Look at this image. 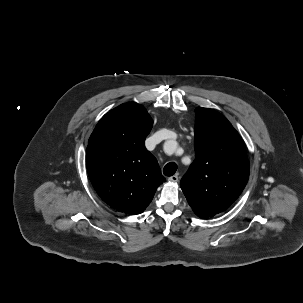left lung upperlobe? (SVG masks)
<instances>
[{"instance_id": "1", "label": "left lung upper lobe", "mask_w": 303, "mask_h": 303, "mask_svg": "<svg viewBox=\"0 0 303 303\" xmlns=\"http://www.w3.org/2000/svg\"><path fill=\"white\" fill-rule=\"evenodd\" d=\"M195 160L180 186L200 218L227 210L243 191L249 177L244 142L219 112L197 108Z\"/></svg>"}]
</instances>
